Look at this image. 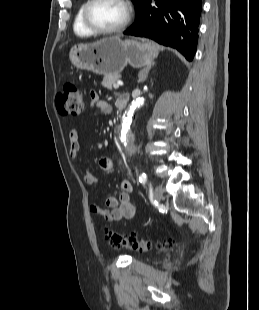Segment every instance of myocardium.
<instances>
[{"instance_id":"obj_1","label":"myocardium","mask_w":259,"mask_h":310,"mask_svg":"<svg viewBox=\"0 0 259 310\" xmlns=\"http://www.w3.org/2000/svg\"><path fill=\"white\" fill-rule=\"evenodd\" d=\"M98 1L99 0H88V2L86 3L83 9V14H82L83 24L92 34L111 35V34L120 33L128 27V25L130 24L131 18H132V9L127 0H119V2L123 4L126 10L125 18L120 25L114 28H101L95 25L90 18V11L93 5L97 3Z\"/></svg>"}]
</instances>
